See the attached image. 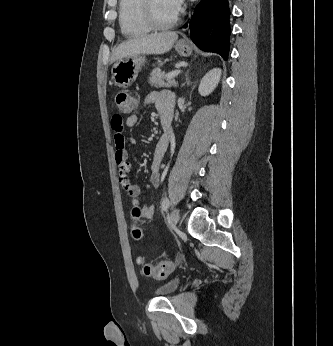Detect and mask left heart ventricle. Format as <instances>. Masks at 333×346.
<instances>
[{
    "label": "left heart ventricle",
    "mask_w": 333,
    "mask_h": 346,
    "mask_svg": "<svg viewBox=\"0 0 333 346\" xmlns=\"http://www.w3.org/2000/svg\"><path fill=\"white\" fill-rule=\"evenodd\" d=\"M153 9L160 21H167L175 15L166 0H153Z\"/></svg>",
    "instance_id": "left-heart-ventricle-1"
}]
</instances>
